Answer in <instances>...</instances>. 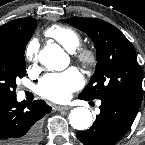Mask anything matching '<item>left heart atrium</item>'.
Segmentation results:
<instances>
[{"label": "left heart atrium", "mask_w": 145, "mask_h": 145, "mask_svg": "<svg viewBox=\"0 0 145 145\" xmlns=\"http://www.w3.org/2000/svg\"><path fill=\"white\" fill-rule=\"evenodd\" d=\"M83 77L76 68L62 73L46 75L38 86V93L44 98L63 102L70 98L71 93L83 85Z\"/></svg>", "instance_id": "obj_1"}]
</instances>
